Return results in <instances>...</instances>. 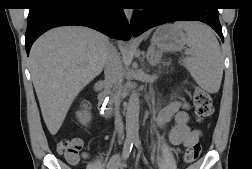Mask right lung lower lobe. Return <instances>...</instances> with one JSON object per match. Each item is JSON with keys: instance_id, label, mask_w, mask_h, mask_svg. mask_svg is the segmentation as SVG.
I'll return each mask as SVG.
<instances>
[{"instance_id": "98d812e1", "label": "right lung lower lobe", "mask_w": 252, "mask_h": 169, "mask_svg": "<svg viewBox=\"0 0 252 169\" xmlns=\"http://www.w3.org/2000/svg\"><path fill=\"white\" fill-rule=\"evenodd\" d=\"M63 25L87 26L120 40L131 38L119 0H36L29 8L25 34L27 54L40 35Z\"/></svg>"}]
</instances>
